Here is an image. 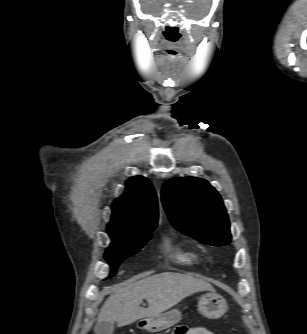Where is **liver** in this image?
Returning <instances> with one entry per match:
<instances>
[{"label":"liver","instance_id":"1","mask_svg":"<svg viewBox=\"0 0 307 334\" xmlns=\"http://www.w3.org/2000/svg\"><path fill=\"white\" fill-rule=\"evenodd\" d=\"M206 281L180 273L163 272L118 288L103 304L98 322L129 325L139 319L156 316L189 295L214 291ZM143 299L147 308L140 306Z\"/></svg>","mask_w":307,"mask_h":334}]
</instances>
